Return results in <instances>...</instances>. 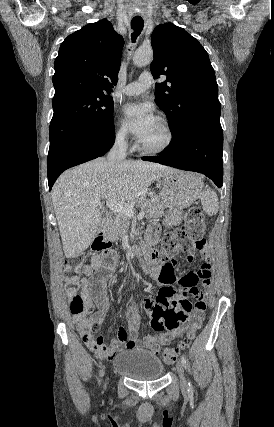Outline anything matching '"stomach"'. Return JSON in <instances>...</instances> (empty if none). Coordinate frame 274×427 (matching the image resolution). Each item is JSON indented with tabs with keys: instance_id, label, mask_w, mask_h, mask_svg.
<instances>
[{
	"instance_id": "1",
	"label": "stomach",
	"mask_w": 274,
	"mask_h": 427,
	"mask_svg": "<svg viewBox=\"0 0 274 427\" xmlns=\"http://www.w3.org/2000/svg\"><path fill=\"white\" fill-rule=\"evenodd\" d=\"M195 180H200L197 174H184L179 170L161 178L160 196L165 208H169L163 219L166 227L181 223L183 208H189L195 202Z\"/></svg>"
}]
</instances>
